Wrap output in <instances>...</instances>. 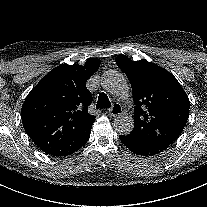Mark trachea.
<instances>
[{
	"mask_svg": "<svg viewBox=\"0 0 207 207\" xmlns=\"http://www.w3.org/2000/svg\"><path fill=\"white\" fill-rule=\"evenodd\" d=\"M96 107L100 109L111 107V103L105 93H100Z\"/></svg>",
	"mask_w": 207,
	"mask_h": 207,
	"instance_id": "1",
	"label": "trachea"
}]
</instances>
